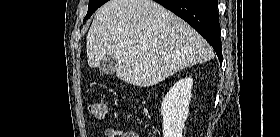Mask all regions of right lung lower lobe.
Returning <instances> with one entry per match:
<instances>
[{
  "label": "right lung lower lobe",
  "mask_w": 280,
  "mask_h": 137,
  "mask_svg": "<svg viewBox=\"0 0 280 137\" xmlns=\"http://www.w3.org/2000/svg\"><path fill=\"white\" fill-rule=\"evenodd\" d=\"M190 24L215 50L222 63L218 0H154Z\"/></svg>",
  "instance_id": "1"
}]
</instances>
